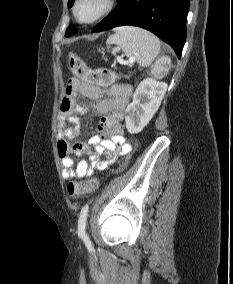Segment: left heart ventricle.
<instances>
[{"label":"left heart ventricle","instance_id":"1","mask_svg":"<svg viewBox=\"0 0 233 284\" xmlns=\"http://www.w3.org/2000/svg\"><path fill=\"white\" fill-rule=\"evenodd\" d=\"M103 0H82L78 7V14L83 19L94 17L102 8Z\"/></svg>","mask_w":233,"mask_h":284}]
</instances>
